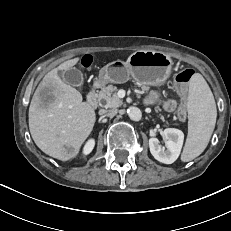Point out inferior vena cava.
<instances>
[{"label":"inferior vena cava","mask_w":231,"mask_h":231,"mask_svg":"<svg viewBox=\"0 0 231 231\" xmlns=\"http://www.w3.org/2000/svg\"><path fill=\"white\" fill-rule=\"evenodd\" d=\"M117 114V110L116 109H111L108 111L107 116L108 117H114Z\"/></svg>","instance_id":"602c4592"}]
</instances>
